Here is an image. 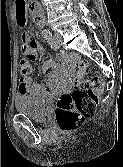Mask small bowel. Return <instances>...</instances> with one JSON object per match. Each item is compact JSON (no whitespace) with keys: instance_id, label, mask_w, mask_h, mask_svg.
<instances>
[{"instance_id":"obj_1","label":"small bowel","mask_w":123,"mask_h":167,"mask_svg":"<svg viewBox=\"0 0 123 167\" xmlns=\"http://www.w3.org/2000/svg\"><path fill=\"white\" fill-rule=\"evenodd\" d=\"M17 14V24H28L25 0H15ZM37 25V21H36ZM42 47L37 43L31 41L30 35L27 32L21 35V53L27 58L28 63L21 67V77L19 80L18 93L20 95H32V96H50L57 95L70 86V67L61 66L52 59H46L42 63V70L46 74L47 79L42 82H36L31 77L32 64L31 60H34L38 54L42 53ZM43 82L45 84H43Z\"/></svg>"}]
</instances>
